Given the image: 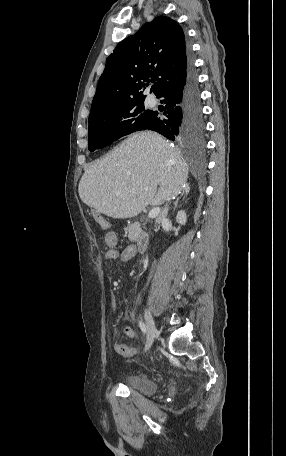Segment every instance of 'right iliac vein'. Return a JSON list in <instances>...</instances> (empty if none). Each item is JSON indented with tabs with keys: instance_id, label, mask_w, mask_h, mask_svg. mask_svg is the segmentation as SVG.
I'll return each mask as SVG.
<instances>
[{
	"instance_id": "1",
	"label": "right iliac vein",
	"mask_w": 286,
	"mask_h": 456,
	"mask_svg": "<svg viewBox=\"0 0 286 456\" xmlns=\"http://www.w3.org/2000/svg\"><path fill=\"white\" fill-rule=\"evenodd\" d=\"M145 322L147 328V341L144 351H147L152 346L154 339L157 335V329L154 323V320L148 310H145Z\"/></svg>"
}]
</instances>
